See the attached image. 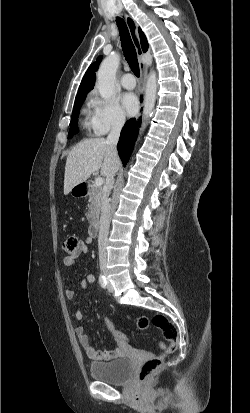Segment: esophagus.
Listing matches in <instances>:
<instances>
[{"instance_id":"obj_1","label":"esophagus","mask_w":250,"mask_h":413,"mask_svg":"<svg viewBox=\"0 0 250 413\" xmlns=\"http://www.w3.org/2000/svg\"><path fill=\"white\" fill-rule=\"evenodd\" d=\"M125 21L127 24V27L129 29L131 38L133 40V43L135 45V49L138 55V60H139V67H140V73H141V79L139 81L140 85L143 86L145 83V79H146V72H147V67L145 65V63L142 61V56H143V51H142V47L140 44V39H139V35L137 32V25L135 23V21L133 20V18L131 16H129L128 14H125ZM139 117V115H138Z\"/></svg>"}]
</instances>
